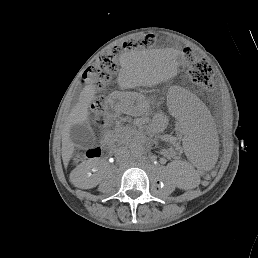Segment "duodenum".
<instances>
[{
    "label": "duodenum",
    "mask_w": 258,
    "mask_h": 258,
    "mask_svg": "<svg viewBox=\"0 0 258 258\" xmlns=\"http://www.w3.org/2000/svg\"><path fill=\"white\" fill-rule=\"evenodd\" d=\"M100 151L99 149H90L87 151V156L89 157H99Z\"/></svg>",
    "instance_id": "obj_1"
}]
</instances>
